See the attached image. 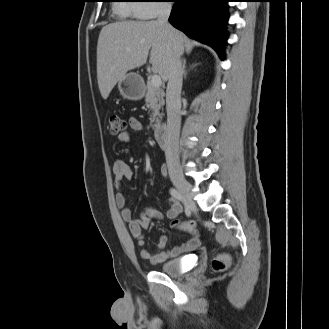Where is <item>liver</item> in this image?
Returning a JSON list of instances; mask_svg holds the SVG:
<instances>
[{"label":"liver","instance_id":"1","mask_svg":"<svg viewBox=\"0 0 329 329\" xmlns=\"http://www.w3.org/2000/svg\"><path fill=\"white\" fill-rule=\"evenodd\" d=\"M175 45L157 21H121L104 26L97 43V80L103 99L126 73L144 65L149 51L152 70L167 81L176 46L180 55L186 37L173 28Z\"/></svg>","mask_w":329,"mask_h":329}]
</instances>
